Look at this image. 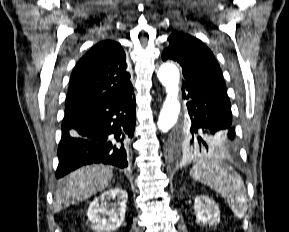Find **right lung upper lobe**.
I'll use <instances>...</instances> for the list:
<instances>
[{"mask_svg": "<svg viewBox=\"0 0 289 232\" xmlns=\"http://www.w3.org/2000/svg\"><path fill=\"white\" fill-rule=\"evenodd\" d=\"M132 90L126 55L120 44L102 41L75 66L65 111L116 99Z\"/></svg>", "mask_w": 289, "mask_h": 232, "instance_id": "1", "label": "right lung upper lobe"}]
</instances>
